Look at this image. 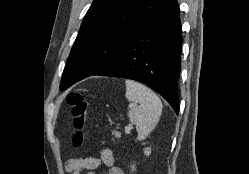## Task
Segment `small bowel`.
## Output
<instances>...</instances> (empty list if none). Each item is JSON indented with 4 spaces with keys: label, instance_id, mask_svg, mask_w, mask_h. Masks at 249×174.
Returning a JSON list of instances; mask_svg holds the SVG:
<instances>
[{
    "label": "small bowel",
    "instance_id": "small-bowel-1",
    "mask_svg": "<svg viewBox=\"0 0 249 174\" xmlns=\"http://www.w3.org/2000/svg\"><path fill=\"white\" fill-rule=\"evenodd\" d=\"M101 164L108 167V174H124V171L114 165V156L110 149H102L97 157L89 156L84 158H73L66 162V171L70 174H81L82 171H89L94 174V170Z\"/></svg>",
    "mask_w": 249,
    "mask_h": 174
}]
</instances>
